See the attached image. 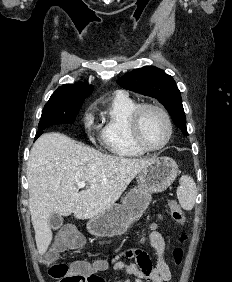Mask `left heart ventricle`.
I'll return each mask as SVG.
<instances>
[{
  "instance_id": "1",
  "label": "left heart ventricle",
  "mask_w": 232,
  "mask_h": 282,
  "mask_svg": "<svg viewBox=\"0 0 232 282\" xmlns=\"http://www.w3.org/2000/svg\"><path fill=\"white\" fill-rule=\"evenodd\" d=\"M140 129L144 141L151 146L160 145L168 135V127L165 119L160 113L154 110L144 112Z\"/></svg>"
}]
</instances>
